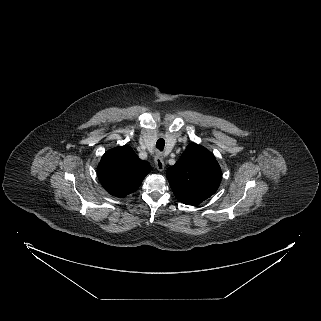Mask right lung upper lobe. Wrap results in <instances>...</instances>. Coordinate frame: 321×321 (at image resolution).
Masks as SVG:
<instances>
[{"label":"right lung upper lobe","instance_id":"obj_1","mask_svg":"<svg viewBox=\"0 0 321 321\" xmlns=\"http://www.w3.org/2000/svg\"><path fill=\"white\" fill-rule=\"evenodd\" d=\"M151 171L130 146H118L107 151L97 168V175L106 191L116 197L135 192Z\"/></svg>","mask_w":321,"mask_h":321}]
</instances>
